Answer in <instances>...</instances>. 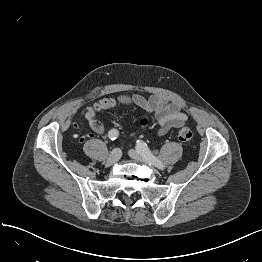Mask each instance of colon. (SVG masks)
I'll return each mask as SVG.
<instances>
[{"mask_svg":"<svg viewBox=\"0 0 262 262\" xmlns=\"http://www.w3.org/2000/svg\"><path fill=\"white\" fill-rule=\"evenodd\" d=\"M132 121L145 128L150 125V121L146 117L133 118ZM192 135V131L189 127L182 126L178 131V140L184 143L189 142L192 138Z\"/></svg>","mask_w":262,"mask_h":262,"instance_id":"1","label":"colon"}]
</instances>
